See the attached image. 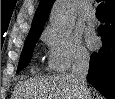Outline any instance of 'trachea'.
<instances>
[{
	"instance_id": "1",
	"label": "trachea",
	"mask_w": 115,
	"mask_h": 99,
	"mask_svg": "<svg viewBox=\"0 0 115 99\" xmlns=\"http://www.w3.org/2000/svg\"><path fill=\"white\" fill-rule=\"evenodd\" d=\"M103 3H100L96 8V16H103Z\"/></svg>"
}]
</instances>
